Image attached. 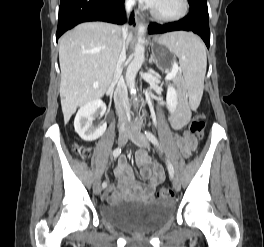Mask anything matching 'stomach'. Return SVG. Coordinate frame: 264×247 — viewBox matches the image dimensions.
<instances>
[{"label":"stomach","instance_id":"obj_1","mask_svg":"<svg viewBox=\"0 0 264 247\" xmlns=\"http://www.w3.org/2000/svg\"><path fill=\"white\" fill-rule=\"evenodd\" d=\"M162 37L154 42L152 48L154 58H156V68L168 70L169 62H172V53H168L169 47L162 43Z\"/></svg>","mask_w":264,"mask_h":247}]
</instances>
